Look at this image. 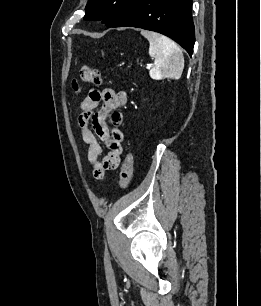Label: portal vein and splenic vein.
Segmentation results:
<instances>
[{"mask_svg": "<svg viewBox=\"0 0 261 306\" xmlns=\"http://www.w3.org/2000/svg\"><path fill=\"white\" fill-rule=\"evenodd\" d=\"M152 67V64H147L146 68L150 69Z\"/></svg>", "mask_w": 261, "mask_h": 306, "instance_id": "1", "label": "portal vein and splenic vein"}]
</instances>
